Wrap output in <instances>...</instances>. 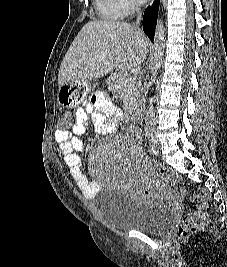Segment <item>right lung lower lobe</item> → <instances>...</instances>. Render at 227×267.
I'll return each mask as SVG.
<instances>
[{"mask_svg": "<svg viewBox=\"0 0 227 267\" xmlns=\"http://www.w3.org/2000/svg\"><path fill=\"white\" fill-rule=\"evenodd\" d=\"M159 2L160 0H155L152 6H148L145 9L144 16H143V30L145 34L150 38L151 41L154 40L155 35V27L157 22L158 16V9H159Z\"/></svg>", "mask_w": 227, "mask_h": 267, "instance_id": "1", "label": "right lung lower lobe"}]
</instances>
